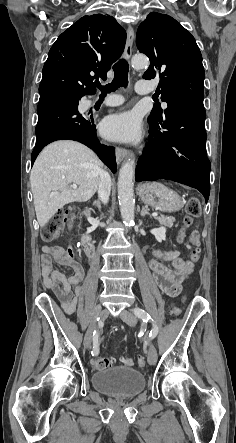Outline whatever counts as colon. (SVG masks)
<instances>
[{
	"label": "colon",
	"mask_w": 236,
	"mask_h": 443,
	"mask_svg": "<svg viewBox=\"0 0 236 443\" xmlns=\"http://www.w3.org/2000/svg\"><path fill=\"white\" fill-rule=\"evenodd\" d=\"M186 213L183 220V229L181 234L184 235L185 230L191 226L193 218L197 217L201 213V204L197 198H190L186 204ZM67 212L61 211L52 216L41 228V238L46 242L54 240L63 228L64 222L66 220ZM200 234L198 231H192L189 234V249H190V259L193 262H197L200 259ZM171 314L174 316H179L180 310L176 307L172 308ZM113 359L106 356H97L92 360V365L96 369H106L113 365ZM123 366H132L133 359L130 357H123L120 360ZM138 366L140 368L146 367V360L144 357L140 358L138 361Z\"/></svg>",
	"instance_id": "5ec220e1"
}]
</instances>
